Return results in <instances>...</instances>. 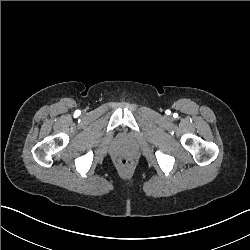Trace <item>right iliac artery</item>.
<instances>
[{
    "label": "right iliac artery",
    "mask_w": 250,
    "mask_h": 250,
    "mask_svg": "<svg viewBox=\"0 0 250 250\" xmlns=\"http://www.w3.org/2000/svg\"><path fill=\"white\" fill-rule=\"evenodd\" d=\"M75 113H76V114H77V113L80 114L81 112H80V111H75Z\"/></svg>",
    "instance_id": "right-iliac-artery-1"
}]
</instances>
